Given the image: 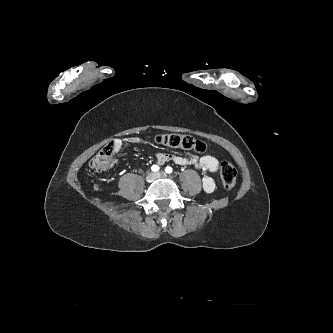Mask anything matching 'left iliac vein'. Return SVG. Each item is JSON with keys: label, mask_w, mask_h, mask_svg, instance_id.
<instances>
[{"label": "left iliac vein", "mask_w": 333, "mask_h": 333, "mask_svg": "<svg viewBox=\"0 0 333 333\" xmlns=\"http://www.w3.org/2000/svg\"><path fill=\"white\" fill-rule=\"evenodd\" d=\"M156 178H163L166 177V174L164 172H157L155 173Z\"/></svg>", "instance_id": "1"}]
</instances>
